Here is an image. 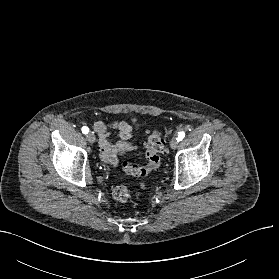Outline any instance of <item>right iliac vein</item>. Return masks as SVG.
Instances as JSON below:
<instances>
[{
	"label": "right iliac vein",
	"mask_w": 279,
	"mask_h": 279,
	"mask_svg": "<svg viewBox=\"0 0 279 279\" xmlns=\"http://www.w3.org/2000/svg\"><path fill=\"white\" fill-rule=\"evenodd\" d=\"M86 139L89 143L93 144L95 142V135L92 132L87 133Z\"/></svg>",
	"instance_id": "obj_1"
}]
</instances>
